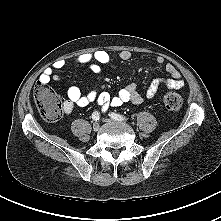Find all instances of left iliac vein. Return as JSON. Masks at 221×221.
Wrapping results in <instances>:
<instances>
[{
  "label": "left iliac vein",
  "instance_id": "obj_1",
  "mask_svg": "<svg viewBox=\"0 0 221 221\" xmlns=\"http://www.w3.org/2000/svg\"><path fill=\"white\" fill-rule=\"evenodd\" d=\"M105 122H112L113 120L112 119H104ZM116 122H119V121H116ZM122 123V122H120Z\"/></svg>",
  "mask_w": 221,
  "mask_h": 221
}]
</instances>
